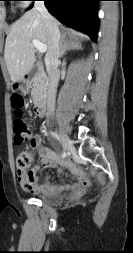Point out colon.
Wrapping results in <instances>:
<instances>
[{
  "label": "colon",
  "mask_w": 133,
  "mask_h": 253,
  "mask_svg": "<svg viewBox=\"0 0 133 253\" xmlns=\"http://www.w3.org/2000/svg\"><path fill=\"white\" fill-rule=\"evenodd\" d=\"M24 99L20 94L12 97V107L14 109L13 131L15 144H22L32 140L31 127L23 119ZM31 162L29 152H22L17 158V167L25 170Z\"/></svg>",
  "instance_id": "1"
}]
</instances>
